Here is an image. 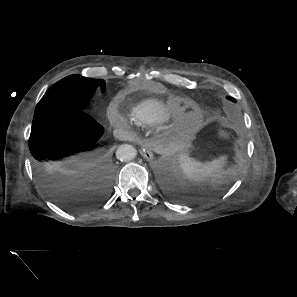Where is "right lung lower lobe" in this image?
<instances>
[{
  "instance_id": "1",
  "label": "right lung lower lobe",
  "mask_w": 297,
  "mask_h": 297,
  "mask_svg": "<svg viewBox=\"0 0 297 297\" xmlns=\"http://www.w3.org/2000/svg\"><path fill=\"white\" fill-rule=\"evenodd\" d=\"M103 127L86 112H58L32 125L29 148L44 191L63 208L82 211L108 199L113 164Z\"/></svg>"
}]
</instances>
